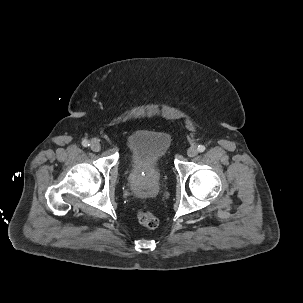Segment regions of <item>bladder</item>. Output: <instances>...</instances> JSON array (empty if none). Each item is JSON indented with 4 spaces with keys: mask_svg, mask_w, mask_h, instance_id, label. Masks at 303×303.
I'll return each instance as SVG.
<instances>
[{
    "mask_svg": "<svg viewBox=\"0 0 303 303\" xmlns=\"http://www.w3.org/2000/svg\"><path fill=\"white\" fill-rule=\"evenodd\" d=\"M171 143V136L164 131L142 129L131 133L126 142V158L131 173L147 179L157 177Z\"/></svg>",
    "mask_w": 303,
    "mask_h": 303,
    "instance_id": "1",
    "label": "bladder"
}]
</instances>
